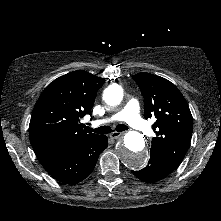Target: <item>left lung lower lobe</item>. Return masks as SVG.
<instances>
[{
	"label": "left lung lower lobe",
	"instance_id": "1",
	"mask_svg": "<svg viewBox=\"0 0 221 221\" xmlns=\"http://www.w3.org/2000/svg\"><path fill=\"white\" fill-rule=\"evenodd\" d=\"M172 171L155 155H150L148 165L140 171L132 173L144 182H155L165 178Z\"/></svg>",
	"mask_w": 221,
	"mask_h": 221
}]
</instances>
